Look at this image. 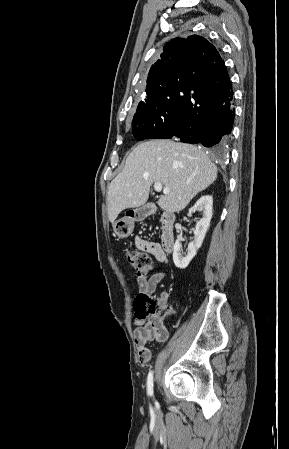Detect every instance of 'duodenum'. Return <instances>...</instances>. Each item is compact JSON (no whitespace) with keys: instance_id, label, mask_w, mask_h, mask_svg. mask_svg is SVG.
<instances>
[{"instance_id":"obj_1","label":"duodenum","mask_w":289,"mask_h":449,"mask_svg":"<svg viewBox=\"0 0 289 449\" xmlns=\"http://www.w3.org/2000/svg\"><path fill=\"white\" fill-rule=\"evenodd\" d=\"M147 214L155 212L154 207L145 209ZM174 224L175 215L170 211H163L161 214V248L164 252H170L174 246Z\"/></svg>"}]
</instances>
